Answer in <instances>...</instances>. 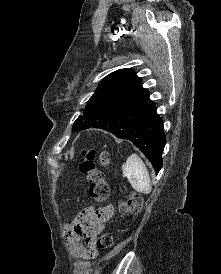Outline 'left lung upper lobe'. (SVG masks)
I'll return each mask as SVG.
<instances>
[{"mask_svg": "<svg viewBox=\"0 0 221 274\" xmlns=\"http://www.w3.org/2000/svg\"><path fill=\"white\" fill-rule=\"evenodd\" d=\"M144 91L145 89L141 86V80L131 69H121L109 74L103 79L98 89L89 99L83 115L76 119L72 129L82 130L95 123L93 109L103 107L117 100H133Z\"/></svg>", "mask_w": 221, "mask_h": 274, "instance_id": "left-lung-upper-lobe-1", "label": "left lung upper lobe"}]
</instances>
